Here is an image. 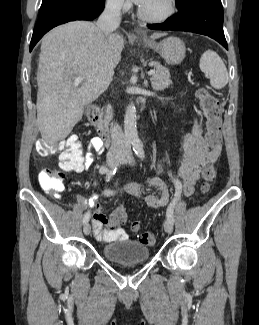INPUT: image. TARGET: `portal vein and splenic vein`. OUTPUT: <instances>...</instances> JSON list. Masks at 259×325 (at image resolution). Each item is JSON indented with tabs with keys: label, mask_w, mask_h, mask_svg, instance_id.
Here are the masks:
<instances>
[{
	"label": "portal vein and splenic vein",
	"mask_w": 259,
	"mask_h": 325,
	"mask_svg": "<svg viewBox=\"0 0 259 325\" xmlns=\"http://www.w3.org/2000/svg\"><path fill=\"white\" fill-rule=\"evenodd\" d=\"M155 74V70H150L149 72H148V75L149 76H151V75H154ZM83 81V77L82 76H78V77H75L74 78V83L75 84H79V83H81Z\"/></svg>",
	"instance_id": "obj_1"
}]
</instances>
